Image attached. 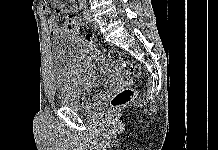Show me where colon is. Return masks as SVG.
I'll return each mask as SVG.
<instances>
[{
    "instance_id": "obj_1",
    "label": "colon",
    "mask_w": 218,
    "mask_h": 150,
    "mask_svg": "<svg viewBox=\"0 0 218 150\" xmlns=\"http://www.w3.org/2000/svg\"><path fill=\"white\" fill-rule=\"evenodd\" d=\"M66 30L71 37H76L79 33V25L73 14H68L65 19ZM86 40L90 43L96 41L95 37L91 33H87L85 36ZM107 56L111 61L120 62L122 67L133 76H138L140 74L139 68L133 63L124 60L118 51H108ZM136 95L135 90L132 88H122L118 90L110 100L111 107L116 108L121 105L126 104L132 100Z\"/></svg>"
}]
</instances>
